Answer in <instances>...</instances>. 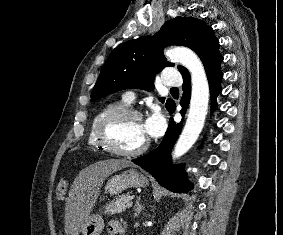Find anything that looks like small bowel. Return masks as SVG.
I'll return each mask as SVG.
<instances>
[{
	"instance_id": "c3829d8e",
	"label": "small bowel",
	"mask_w": 283,
	"mask_h": 235,
	"mask_svg": "<svg viewBox=\"0 0 283 235\" xmlns=\"http://www.w3.org/2000/svg\"><path fill=\"white\" fill-rule=\"evenodd\" d=\"M122 225L119 221L113 220L108 225V231L111 235H117L121 233Z\"/></svg>"
}]
</instances>
